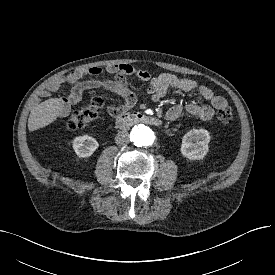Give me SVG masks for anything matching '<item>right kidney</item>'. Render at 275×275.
I'll return each mask as SVG.
<instances>
[{
    "label": "right kidney",
    "mask_w": 275,
    "mask_h": 275,
    "mask_svg": "<svg viewBox=\"0 0 275 275\" xmlns=\"http://www.w3.org/2000/svg\"><path fill=\"white\" fill-rule=\"evenodd\" d=\"M72 145L75 153L81 158L91 156L99 146L96 139L88 135L76 137Z\"/></svg>",
    "instance_id": "right-kidney-1"
}]
</instances>
